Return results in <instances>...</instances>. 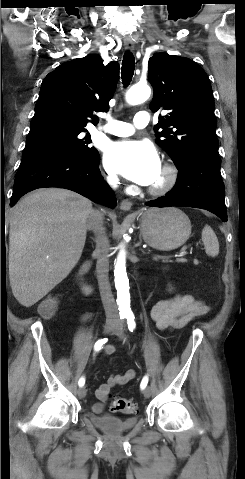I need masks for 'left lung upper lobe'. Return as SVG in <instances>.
<instances>
[{
    "mask_svg": "<svg viewBox=\"0 0 245 479\" xmlns=\"http://www.w3.org/2000/svg\"><path fill=\"white\" fill-rule=\"evenodd\" d=\"M148 80L154 88L151 111H168L154 127L156 142L177 168L194 155L218 153L213 92L205 71L190 59L157 53L149 59Z\"/></svg>",
    "mask_w": 245,
    "mask_h": 479,
    "instance_id": "5c2ea615",
    "label": "left lung upper lobe"
}]
</instances>
